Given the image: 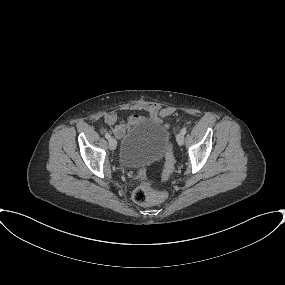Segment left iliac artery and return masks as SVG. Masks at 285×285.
Here are the masks:
<instances>
[{
	"instance_id": "1",
	"label": "left iliac artery",
	"mask_w": 285,
	"mask_h": 285,
	"mask_svg": "<svg viewBox=\"0 0 285 285\" xmlns=\"http://www.w3.org/2000/svg\"><path fill=\"white\" fill-rule=\"evenodd\" d=\"M186 132H187V129H186V128H183V129L181 130V133L184 134V135L186 134Z\"/></svg>"
}]
</instances>
